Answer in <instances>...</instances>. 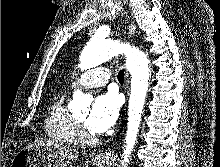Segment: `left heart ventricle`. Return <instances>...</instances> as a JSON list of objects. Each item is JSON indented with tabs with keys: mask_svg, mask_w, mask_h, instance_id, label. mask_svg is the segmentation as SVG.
<instances>
[{
	"mask_svg": "<svg viewBox=\"0 0 220 167\" xmlns=\"http://www.w3.org/2000/svg\"><path fill=\"white\" fill-rule=\"evenodd\" d=\"M77 118L86 125L87 112L77 115Z\"/></svg>",
	"mask_w": 220,
	"mask_h": 167,
	"instance_id": "left-heart-ventricle-1",
	"label": "left heart ventricle"
}]
</instances>
